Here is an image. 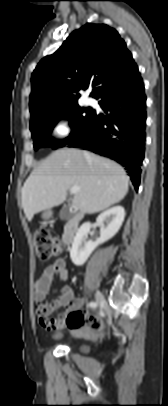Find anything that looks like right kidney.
I'll return each instance as SVG.
<instances>
[{"instance_id":"obj_1","label":"right kidney","mask_w":168,"mask_h":406,"mask_svg":"<svg viewBox=\"0 0 168 406\" xmlns=\"http://www.w3.org/2000/svg\"><path fill=\"white\" fill-rule=\"evenodd\" d=\"M125 218L122 206H115L101 213L97 218L100 226V237L96 241H87L91 224L84 223L77 231L70 250V258L76 266H82L91 253L104 242L111 239L119 231ZM105 223L107 225H105Z\"/></svg>"}]
</instances>
